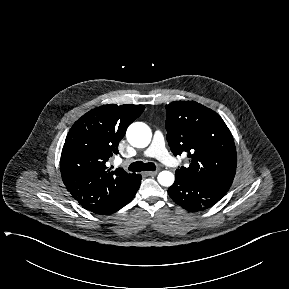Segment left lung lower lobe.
Listing matches in <instances>:
<instances>
[{
	"label": "left lung lower lobe",
	"mask_w": 289,
	"mask_h": 289,
	"mask_svg": "<svg viewBox=\"0 0 289 289\" xmlns=\"http://www.w3.org/2000/svg\"><path fill=\"white\" fill-rule=\"evenodd\" d=\"M168 194L176 204L194 212L210 208L226 194V191L213 188L183 174H176L175 182L168 189Z\"/></svg>",
	"instance_id": "0a47b994"
}]
</instances>
